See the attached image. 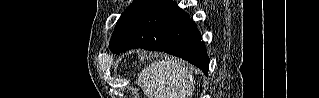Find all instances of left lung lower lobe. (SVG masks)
<instances>
[{"instance_id": "1", "label": "left lung lower lobe", "mask_w": 319, "mask_h": 98, "mask_svg": "<svg viewBox=\"0 0 319 98\" xmlns=\"http://www.w3.org/2000/svg\"><path fill=\"white\" fill-rule=\"evenodd\" d=\"M196 24L171 0H157L127 43L115 53L133 48L164 51L199 67L206 75L209 58Z\"/></svg>"}]
</instances>
